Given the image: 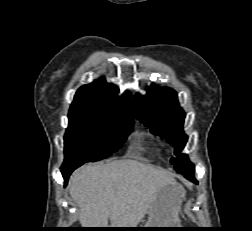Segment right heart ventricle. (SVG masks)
<instances>
[{
  "mask_svg": "<svg viewBox=\"0 0 252 231\" xmlns=\"http://www.w3.org/2000/svg\"><path fill=\"white\" fill-rule=\"evenodd\" d=\"M138 139H139V140H144L143 135H141V134H140V135H138Z\"/></svg>",
  "mask_w": 252,
  "mask_h": 231,
  "instance_id": "1",
  "label": "right heart ventricle"
}]
</instances>
